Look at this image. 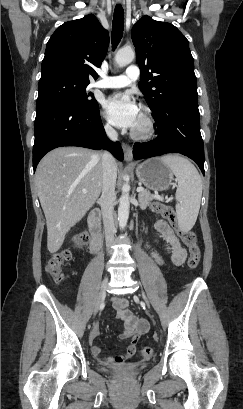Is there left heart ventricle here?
<instances>
[{
  "instance_id": "b2bd125f",
  "label": "left heart ventricle",
  "mask_w": 243,
  "mask_h": 409,
  "mask_svg": "<svg viewBox=\"0 0 243 409\" xmlns=\"http://www.w3.org/2000/svg\"><path fill=\"white\" fill-rule=\"evenodd\" d=\"M144 128V122H143V115L142 112L139 111L137 121L135 126L133 127L134 130H142Z\"/></svg>"
}]
</instances>
